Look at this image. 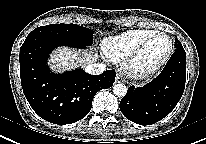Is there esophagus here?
I'll return each mask as SVG.
<instances>
[{
  "mask_svg": "<svg viewBox=\"0 0 206 144\" xmlns=\"http://www.w3.org/2000/svg\"><path fill=\"white\" fill-rule=\"evenodd\" d=\"M123 81H124L123 77L120 74H117L116 77H115V82L116 83H121Z\"/></svg>",
  "mask_w": 206,
  "mask_h": 144,
  "instance_id": "esophagus-1",
  "label": "esophagus"
}]
</instances>
